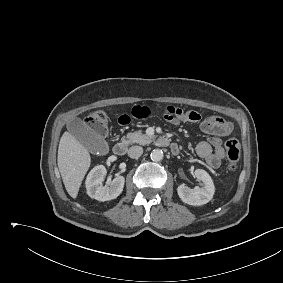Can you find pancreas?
I'll return each instance as SVG.
<instances>
[{"mask_svg":"<svg viewBox=\"0 0 283 283\" xmlns=\"http://www.w3.org/2000/svg\"><path fill=\"white\" fill-rule=\"evenodd\" d=\"M153 140V137L147 134H143L141 131H136L133 133H128L126 138H122V143L123 144H140V145H146L151 143Z\"/></svg>","mask_w":283,"mask_h":283,"instance_id":"cf45deb5","label":"pancreas"}]
</instances>
